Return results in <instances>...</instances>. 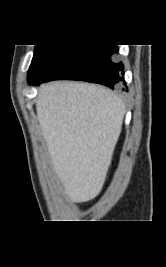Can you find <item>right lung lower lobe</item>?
<instances>
[{
    "mask_svg": "<svg viewBox=\"0 0 166 267\" xmlns=\"http://www.w3.org/2000/svg\"><path fill=\"white\" fill-rule=\"evenodd\" d=\"M80 80L126 91L124 65L116 45H52L31 75L28 83L58 80Z\"/></svg>",
    "mask_w": 166,
    "mask_h": 267,
    "instance_id": "1",
    "label": "right lung lower lobe"
}]
</instances>
